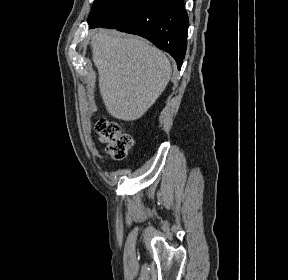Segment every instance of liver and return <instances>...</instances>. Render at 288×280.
I'll return each mask as SVG.
<instances>
[{"label": "liver", "mask_w": 288, "mask_h": 280, "mask_svg": "<svg viewBox=\"0 0 288 280\" xmlns=\"http://www.w3.org/2000/svg\"><path fill=\"white\" fill-rule=\"evenodd\" d=\"M99 89L109 114L125 121L141 118L165 90L170 61L136 36H112L99 29L91 39Z\"/></svg>", "instance_id": "liver-1"}]
</instances>
